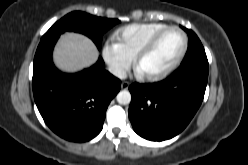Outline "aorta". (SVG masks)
<instances>
[{"label":"aorta","mask_w":248,"mask_h":165,"mask_svg":"<svg viewBox=\"0 0 248 165\" xmlns=\"http://www.w3.org/2000/svg\"><path fill=\"white\" fill-rule=\"evenodd\" d=\"M116 99L119 104L127 105L131 102V94L127 90H122L117 94Z\"/></svg>","instance_id":"obj_1"}]
</instances>
